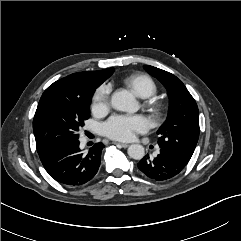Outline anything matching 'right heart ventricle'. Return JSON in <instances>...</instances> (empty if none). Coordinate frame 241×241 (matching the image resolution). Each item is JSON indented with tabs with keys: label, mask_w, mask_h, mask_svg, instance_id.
I'll use <instances>...</instances> for the list:
<instances>
[{
	"label": "right heart ventricle",
	"mask_w": 241,
	"mask_h": 241,
	"mask_svg": "<svg viewBox=\"0 0 241 241\" xmlns=\"http://www.w3.org/2000/svg\"><path fill=\"white\" fill-rule=\"evenodd\" d=\"M124 85L141 98H149L157 92L156 82L146 74H132L124 79Z\"/></svg>",
	"instance_id": "1"
}]
</instances>
